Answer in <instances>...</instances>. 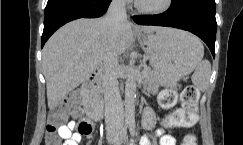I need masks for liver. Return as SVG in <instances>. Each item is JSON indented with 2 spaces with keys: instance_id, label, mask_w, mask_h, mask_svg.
Instances as JSON below:
<instances>
[{
  "instance_id": "6515ba94",
  "label": "liver",
  "mask_w": 243,
  "mask_h": 145,
  "mask_svg": "<svg viewBox=\"0 0 243 145\" xmlns=\"http://www.w3.org/2000/svg\"><path fill=\"white\" fill-rule=\"evenodd\" d=\"M133 25L121 24L115 39L109 36L104 18L78 19L56 31L42 51L43 74L46 79L48 107H57L66 94L78 87L104 62L110 48L120 55L134 42ZM153 33L161 27L135 26Z\"/></svg>"
}]
</instances>
